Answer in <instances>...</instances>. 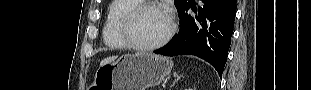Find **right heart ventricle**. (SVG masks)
I'll return each instance as SVG.
<instances>
[{"mask_svg": "<svg viewBox=\"0 0 311 90\" xmlns=\"http://www.w3.org/2000/svg\"><path fill=\"white\" fill-rule=\"evenodd\" d=\"M139 0H115L109 5L103 26V40L110 49H125L127 45L120 34L123 17L133 7L141 4Z\"/></svg>", "mask_w": 311, "mask_h": 90, "instance_id": "1", "label": "right heart ventricle"}]
</instances>
